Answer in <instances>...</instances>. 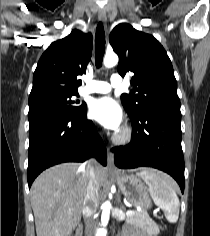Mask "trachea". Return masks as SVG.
Here are the masks:
<instances>
[{"label":"trachea","mask_w":210,"mask_h":236,"mask_svg":"<svg viewBox=\"0 0 210 236\" xmlns=\"http://www.w3.org/2000/svg\"><path fill=\"white\" fill-rule=\"evenodd\" d=\"M105 52V32L103 24L98 23L95 35V64L97 68L102 66V60Z\"/></svg>","instance_id":"1"}]
</instances>
